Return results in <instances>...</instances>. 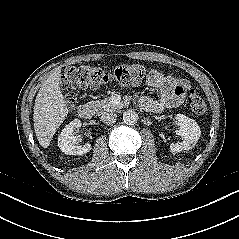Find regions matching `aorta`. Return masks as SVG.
Masks as SVG:
<instances>
[{"mask_svg": "<svg viewBox=\"0 0 239 239\" xmlns=\"http://www.w3.org/2000/svg\"><path fill=\"white\" fill-rule=\"evenodd\" d=\"M139 117L137 112H135L134 110H127L123 113V121L125 124L127 125H134L137 123Z\"/></svg>", "mask_w": 239, "mask_h": 239, "instance_id": "obj_1", "label": "aorta"}]
</instances>
